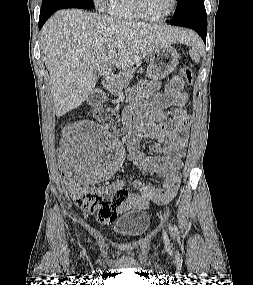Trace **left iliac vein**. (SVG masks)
I'll return each mask as SVG.
<instances>
[{
  "label": "left iliac vein",
  "instance_id": "left-iliac-vein-1",
  "mask_svg": "<svg viewBox=\"0 0 253 285\" xmlns=\"http://www.w3.org/2000/svg\"><path fill=\"white\" fill-rule=\"evenodd\" d=\"M163 240H164L165 245L168 246L169 245V239H168L166 232L163 233Z\"/></svg>",
  "mask_w": 253,
  "mask_h": 285
}]
</instances>
